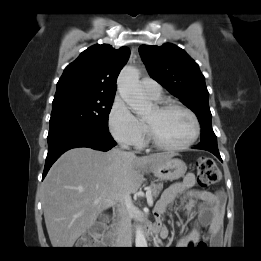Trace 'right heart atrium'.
I'll use <instances>...</instances> for the list:
<instances>
[{
    "instance_id": "d8ad5b80",
    "label": "right heart atrium",
    "mask_w": 261,
    "mask_h": 261,
    "mask_svg": "<svg viewBox=\"0 0 261 261\" xmlns=\"http://www.w3.org/2000/svg\"><path fill=\"white\" fill-rule=\"evenodd\" d=\"M113 138L123 146L139 148L144 143L145 126L122 99H115L108 116Z\"/></svg>"
}]
</instances>
